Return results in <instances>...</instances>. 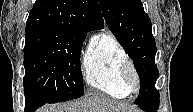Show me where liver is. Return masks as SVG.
Returning <instances> with one entry per match:
<instances>
[{"instance_id": "1", "label": "liver", "mask_w": 193, "mask_h": 112, "mask_svg": "<svg viewBox=\"0 0 193 112\" xmlns=\"http://www.w3.org/2000/svg\"><path fill=\"white\" fill-rule=\"evenodd\" d=\"M133 108L108 97L93 96L57 106L46 105L39 112H132Z\"/></svg>"}]
</instances>
